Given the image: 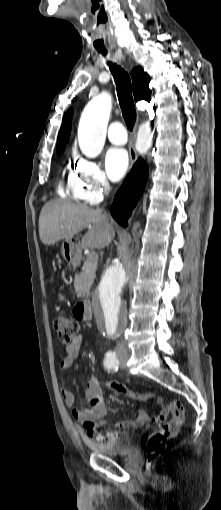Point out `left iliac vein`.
Instances as JSON below:
<instances>
[{
  "instance_id": "left-iliac-vein-1",
  "label": "left iliac vein",
  "mask_w": 221,
  "mask_h": 510,
  "mask_svg": "<svg viewBox=\"0 0 221 510\" xmlns=\"http://www.w3.org/2000/svg\"><path fill=\"white\" fill-rule=\"evenodd\" d=\"M127 354H123L120 357V367L125 368L126 367V361H127Z\"/></svg>"
}]
</instances>
